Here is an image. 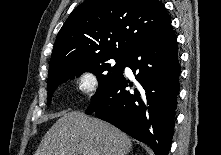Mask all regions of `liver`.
I'll return each mask as SVG.
<instances>
[{"instance_id": "6515ba94", "label": "liver", "mask_w": 221, "mask_h": 155, "mask_svg": "<svg viewBox=\"0 0 221 155\" xmlns=\"http://www.w3.org/2000/svg\"><path fill=\"white\" fill-rule=\"evenodd\" d=\"M131 139L99 119L71 111L44 135L35 155H127Z\"/></svg>"}]
</instances>
